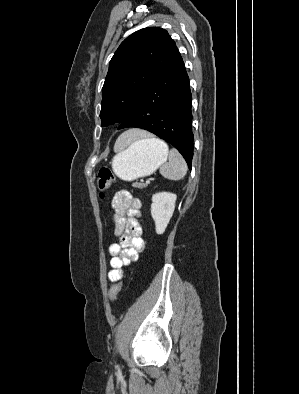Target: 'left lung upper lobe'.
Masks as SVG:
<instances>
[{
	"instance_id": "1",
	"label": "left lung upper lobe",
	"mask_w": 299,
	"mask_h": 394,
	"mask_svg": "<svg viewBox=\"0 0 299 394\" xmlns=\"http://www.w3.org/2000/svg\"><path fill=\"white\" fill-rule=\"evenodd\" d=\"M180 53L166 30L148 27L116 50L102 88L101 126L125 121L152 82Z\"/></svg>"
}]
</instances>
